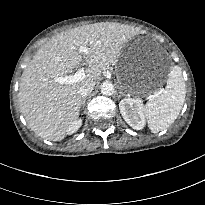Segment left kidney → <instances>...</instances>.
I'll use <instances>...</instances> for the list:
<instances>
[{"mask_svg": "<svg viewBox=\"0 0 205 205\" xmlns=\"http://www.w3.org/2000/svg\"><path fill=\"white\" fill-rule=\"evenodd\" d=\"M120 113L123 119L133 129L141 130L145 126V114L143 102L139 98H125L119 103Z\"/></svg>", "mask_w": 205, "mask_h": 205, "instance_id": "1", "label": "left kidney"}]
</instances>
